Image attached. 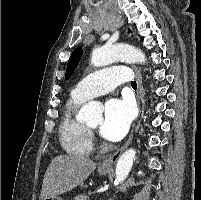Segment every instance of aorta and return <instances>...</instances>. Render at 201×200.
Wrapping results in <instances>:
<instances>
[{
  "instance_id": "1",
  "label": "aorta",
  "mask_w": 201,
  "mask_h": 200,
  "mask_svg": "<svg viewBox=\"0 0 201 200\" xmlns=\"http://www.w3.org/2000/svg\"><path fill=\"white\" fill-rule=\"evenodd\" d=\"M129 61L144 64L146 57L141 50L127 44L97 47L92 51L91 63L96 67L106 66L116 61ZM82 113L88 120H101V113L96 109V103L90 102L82 108ZM136 158L134 149L126 150L116 164V182H122L128 176Z\"/></svg>"
}]
</instances>
